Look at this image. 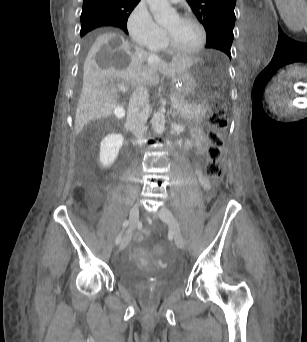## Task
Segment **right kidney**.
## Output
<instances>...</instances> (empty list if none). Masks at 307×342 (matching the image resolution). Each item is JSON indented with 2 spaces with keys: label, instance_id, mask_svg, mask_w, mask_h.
Wrapping results in <instances>:
<instances>
[{
  "label": "right kidney",
  "instance_id": "ca27d5eb",
  "mask_svg": "<svg viewBox=\"0 0 307 342\" xmlns=\"http://www.w3.org/2000/svg\"><path fill=\"white\" fill-rule=\"evenodd\" d=\"M124 138L122 134H108L101 142L99 160L103 168H110L114 164Z\"/></svg>",
  "mask_w": 307,
  "mask_h": 342
}]
</instances>
